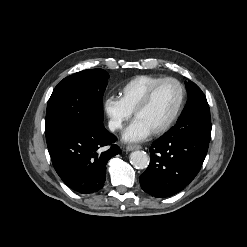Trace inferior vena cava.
<instances>
[{
  "label": "inferior vena cava",
  "mask_w": 247,
  "mask_h": 247,
  "mask_svg": "<svg viewBox=\"0 0 247 247\" xmlns=\"http://www.w3.org/2000/svg\"><path fill=\"white\" fill-rule=\"evenodd\" d=\"M117 123L116 122H113V121H110L109 122V129L111 130V131H114L116 128H117Z\"/></svg>",
  "instance_id": "602c4592"
}]
</instances>
